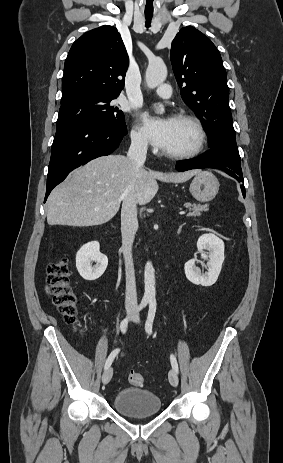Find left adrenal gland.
I'll use <instances>...</instances> for the list:
<instances>
[{
  "label": "left adrenal gland",
  "instance_id": "obj_1",
  "mask_svg": "<svg viewBox=\"0 0 283 463\" xmlns=\"http://www.w3.org/2000/svg\"><path fill=\"white\" fill-rule=\"evenodd\" d=\"M182 226H183V225H181V226L179 227V230H181Z\"/></svg>",
  "mask_w": 283,
  "mask_h": 463
}]
</instances>
